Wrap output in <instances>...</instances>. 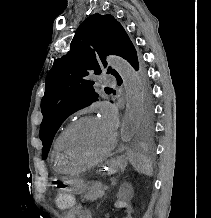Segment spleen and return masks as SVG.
Wrapping results in <instances>:
<instances>
[{
  "label": "spleen",
  "mask_w": 211,
  "mask_h": 218,
  "mask_svg": "<svg viewBox=\"0 0 211 218\" xmlns=\"http://www.w3.org/2000/svg\"><path fill=\"white\" fill-rule=\"evenodd\" d=\"M127 156L131 166H133L136 172L145 174V176H152L153 168L147 156H143V154H133V152H129Z\"/></svg>",
  "instance_id": "obj_1"
}]
</instances>
